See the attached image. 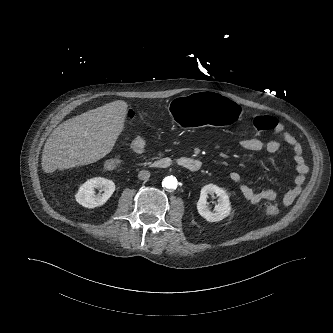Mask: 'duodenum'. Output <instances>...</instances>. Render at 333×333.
<instances>
[{
  "label": "duodenum",
  "mask_w": 333,
  "mask_h": 333,
  "mask_svg": "<svg viewBox=\"0 0 333 333\" xmlns=\"http://www.w3.org/2000/svg\"><path fill=\"white\" fill-rule=\"evenodd\" d=\"M151 166L157 169H167L172 166H177L189 172H198L202 167V163L198 158L194 157H180L176 159L161 158L153 161Z\"/></svg>",
  "instance_id": "obj_1"
}]
</instances>
